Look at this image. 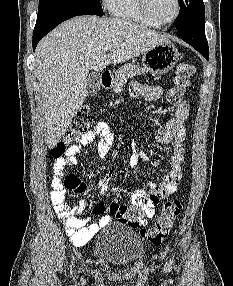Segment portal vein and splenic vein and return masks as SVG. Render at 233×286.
<instances>
[{
    "mask_svg": "<svg viewBox=\"0 0 233 286\" xmlns=\"http://www.w3.org/2000/svg\"><path fill=\"white\" fill-rule=\"evenodd\" d=\"M111 48H112V47H111L110 45H108V46H106V47L104 48V50H105V51H109V50H111Z\"/></svg>",
    "mask_w": 233,
    "mask_h": 286,
    "instance_id": "1",
    "label": "portal vein and splenic vein"
}]
</instances>
